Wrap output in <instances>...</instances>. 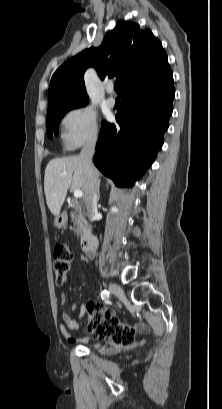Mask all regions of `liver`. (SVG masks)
Masks as SVG:
<instances>
[{
  "instance_id": "obj_1",
  "label": "liver",
  "mask_w": 222,
  "mask_h": 409,
  "mask_svg": "<svg viewBox=\"0 0 222 409\" xmlns=\"http://www.w3.org/2000/svg\"><path fill=\"white\" fill-rule=\"evenodd\" d=\"M84 181L85 172L79 156L49 161L45 169L44 192L47 206L54 216L59 215L69 188L80 190Z\"/></svg>"
}]
</instances>
